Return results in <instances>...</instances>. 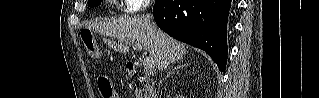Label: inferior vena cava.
<instances>
[{
    "mask_svg": "<svg viewBox=\"0 0 319 98\" xmlns=\"http://www.w3.org/2000/svg\"><path fill=\"white\" fill-rule=\"evenodd\" d=\"M144 20L146 21L149 27H152L153 25H155L153 22V16L151 14H146L144 16Z\"/></svg>",
    "mask_w": 319,
    "mask_h": 98,
    "instance_id": "602c4592",
    "label": "inferior vena cava"
}]
</instances>
